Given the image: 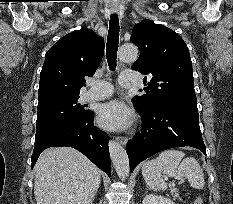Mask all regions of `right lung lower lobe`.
Segmentation results:
<instances>
[{
  "mask_svg": "<svg viewBox=\"0 0 233 204\" xmlns=\"http://www.w3.org/2000/svg\"><path fill=\"white\" fill-rule=\"evenodd\" d=\"M92 111L71 124L60 125L35 137L34 151L31 157L32 168L40 153L49 147H73L88 157L98 168L110 177L109 138L94 123Z\"/></svg>",
  "mask_w": 233,
  "mask_h": 204,
  "instance_id": "right-lung-lower-lobe-1",
  "label": "right lung lower lobe"
}]
</instances>
